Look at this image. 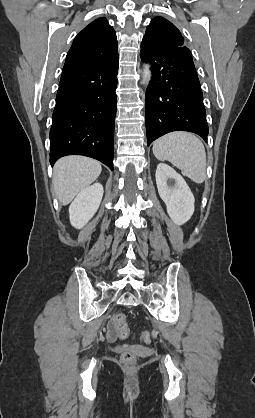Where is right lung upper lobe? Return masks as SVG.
<instances>
[{
	"label": "right lung upper lobe",
	"mask_w": 255,
	"mask_h": 418,
	"mask_svg": "<svg viewBox=\"0 0 255 418\" xmlns=\"http://www.w3.org/2000/svg\"><path fill=\"white\" fill-rule=\"evenodd\" d=\"M118 59L116 33L106 18L87 25L74 39L62 73L107 64Z\"/></svg>",
	"instance_id": "1"
}]
</instances>
